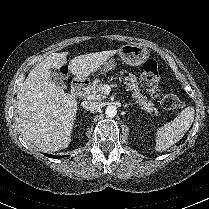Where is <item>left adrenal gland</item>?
I'll return each instance as SVG.
<instances>
[{
  "instance_id": "obj_1",
  "label": "left adrenal gland",
  "mask_w": 209,
  "mask_h": 209,
  "mask_svg": "<svg viewBox=\"0 0 209 209\" xmlns=\"http://www.w3.org/2000/svg\"><path fill=\"white\" fill-rule=\"evenodd\" d=\"M131 105H133V104L127 103V104L124 105V107L131 106Z\"/></svg>"
}]
</instances>
